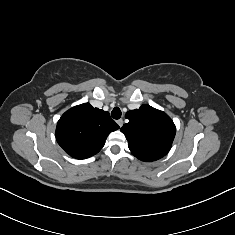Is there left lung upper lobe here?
<instances>
[{
    "instance_id": "5c2ea615",
    "label": "left lung upper lobe",
    "mask_w": 235,
    "mask_h": 235,
    "mask_svg": "<svg viewBox=\"0 0 235 235\" xmlns=\"http://www.w3.org/2000/svg\"><path fill=\"white\" fill-rule=\"evenodd\" d=\"M125 117L121 132L128 140V147L138 159L146 162L165 156L172 145L176 128L171 118L163 111L149 105L130 110Z\"/></svg>"
}]
</instances>
